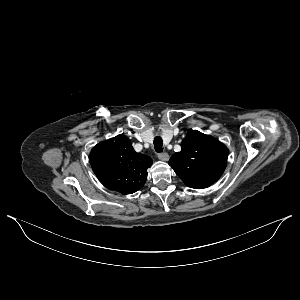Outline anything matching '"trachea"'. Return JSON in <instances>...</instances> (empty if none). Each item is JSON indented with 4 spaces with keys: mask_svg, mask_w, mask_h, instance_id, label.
Listing matches in <instances>:
<instances>
[{
    "mask_svg": "<svg viewBox=\"0 0 300 300\" xmlns=\"http://www.w3.org/2000/svg\"><path fill=\"white\" fill-rule=\"evenodd\" d=\"M154 147H155V151L157 153H162L163 152V140L160 136H156L154 138Z\"/></svg>",
    "mask_w": 300,
    "mask_h": 300,
    "instance_id": "obj_1",
    "label": "trachea"
}]
</instances>
